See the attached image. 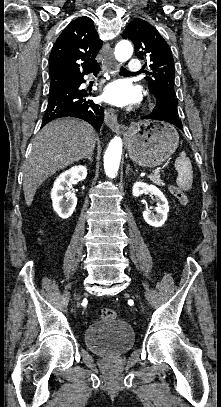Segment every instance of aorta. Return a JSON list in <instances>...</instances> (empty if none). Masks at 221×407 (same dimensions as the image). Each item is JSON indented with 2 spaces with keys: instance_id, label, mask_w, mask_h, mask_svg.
<instances>
[{
  "instance_id": "obj_1",
  "label": "aorta",
  "mask_w": 221,
  "mask_h": 407,
  "mask_svg": "<svg viewBox=\"0 0 221 407\" xmlns=\"http://www.w3.org/2000/svg\"><path fill=\"white\" fill-rule=\"evenodd\" d=\"M133 53L132 44L127 40H121L115 47V58L119 62L127 61ZM122 155V139L114 137L104 155V170L108 177L114 178L118 172Z\"/></svg>"
}]
</instances>
